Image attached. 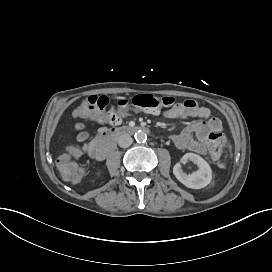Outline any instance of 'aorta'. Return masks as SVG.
<instances>
[{
    "mask_svg": "<svg viewBox=\"0 0 272 272\" xmlns=\"http://www.w3.org/2000/svg\"><path fill=\"white\" fill-rule=\"evenodd\" d=\"M134 138L137 142H143L147 139V134L142 131V130H138L135 134H134Z\"/></svg>",
    "mask_w": 272,
    "mask_h": 272,
    "instance_id": "762f6f07",
    "label": "aorta"
}]
</instances>
